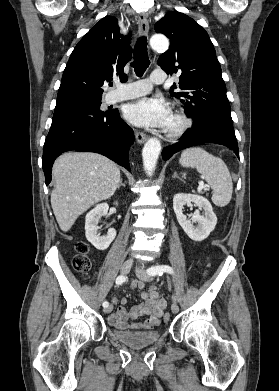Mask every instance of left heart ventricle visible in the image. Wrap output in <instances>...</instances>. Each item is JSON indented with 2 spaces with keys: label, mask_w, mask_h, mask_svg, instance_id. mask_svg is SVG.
I'll return each mask as SVG.
<instances>
[{
  "label": "left heart ventricle",
  "mask_w": 279,
  "mask_h": 391,
  "mask_svg": "<svg viewBox=\"0 0 279 391\" xmlns=\"http://www.w3.org/2000/svg\"><path fill=\"white\" fill-rule=\"evenodd\" d=\"M175 125V120L171 117V120L169 122L168 128Z\"/></svg>",
  "instance_id": "left-heart-ventricle-1"
}]
</instances>
